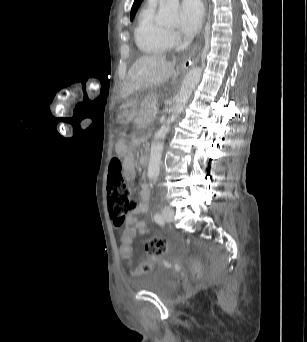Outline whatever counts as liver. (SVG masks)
<instances>
[{"label": "liver", "mask_w": 307, "mask_h": 342, "mask_svg": "<svg viewBox=\"0 0 307 342\" xmlns=\"http://www.w3.org/2000/svg\"><path fill=\"white\" fill-rule=\"evenodd\" d=\"M175 64L176 58H174L173 62H167L166 56H163V54L138 58L127 72L126 80L123 82L120 92V100H125L140 88L162 86V84L168 82Z\"/></svg>", "instance_id": "6515ba94"}]
</instances>
